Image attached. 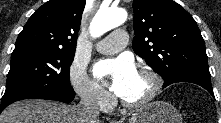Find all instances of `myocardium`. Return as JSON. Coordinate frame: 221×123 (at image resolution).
I'll list each match as a JSON object with an SVG mask.
<instances>
[{"label": "myocardium", "mask_w": 221, "mask_h": 123, "mask_svg": "<svg viewBox=\"0 0 221 123\" xmlns=\"http://www.w3.org/2000/svg\"><path fill=\"white\" fill-rule=\"evenodd\" d=\"M138 72L150 78L152 81V88L149 94L138 102H128L119 97L121 105L129 110H138L147 106L157 98L162 89V78L156 71L149 67H141Z\"/></svg>", "instance_id": "obj_1"}]
</instances>
